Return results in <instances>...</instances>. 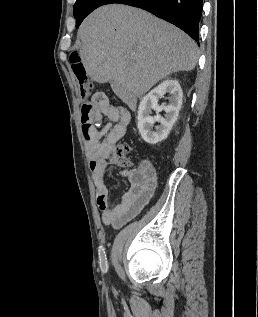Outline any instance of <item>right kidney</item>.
<instances>
[{"mask_svg":"<svg viewBox=\"0 0 258 317\" xmlns=\"http://www.w3.org/2000/svg\"><path fill=\"white\" fill-rule=\"evenodd\" d=\"M166 92L171 94V96H169V104H162V106H159L158 100L160 96H163ZM182 96V88L176 78H167V80H163L161 84L152 88L146 96H143L138 106L137 116V126L143 140L150 142V144H157L160 140L167 138L174 122H176L178 118L182 104ZM151 108H154L156 112L165 110L166 114H164V116H160V114L151 116ZM156 120L157 122H160V124L155 126L156 130H152V126Z\"/></svg>","mask_w":258,"mask_h":317,"instance_id":"1","label":"right kidney"}]
</instances>
